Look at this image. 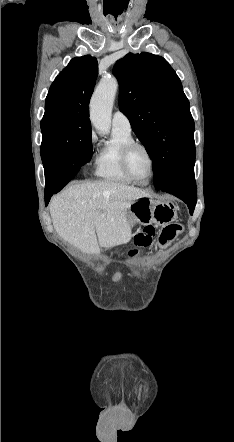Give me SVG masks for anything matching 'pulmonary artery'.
Instances as JSON below:
<instances>
[{"mask_svg": "<svg viewBox=\"0 0 234 442\" xmlns=\"http://www.w3.org/2000/svg\"><path fill=\"white\" fill-rule=\"evenodd\" d=\"M113 129L131 132V124L128 117L120 110H116L112 117Z\"/></svg>", "mask_w": 234, "mask_h": 442, "instance_id": "pulmonary-artery-1", "label": "pulmonary artery"}]
</instances>
